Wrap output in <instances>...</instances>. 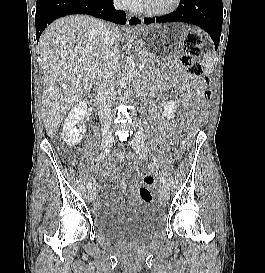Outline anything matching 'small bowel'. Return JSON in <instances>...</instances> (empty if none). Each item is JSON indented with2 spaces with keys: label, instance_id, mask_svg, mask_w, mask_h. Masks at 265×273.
Segmentation results:
<instances>
[{
  "label": "small bowel",
  "instance_id": "1",
  "mask_svg": "<svg viewBox=\"0 0 265 273\" xmlns=\"http://www.w3.org/2000/svg\"><path fill=\"white\" fill-rule=\"evenodd\" d=\"M177 127H178V123H177V122H173V123L170 124V128H171V129H175V128H177ZM147 179L150 180L149 177H148ZM132 184L134 185V182H133ZM100 207H101V204H100V202L97 201V202L95 203V208H96V209H99Z\"/></svg>",
  "mask_w": 265,
  "mask_h": 273
}]
</instances>
